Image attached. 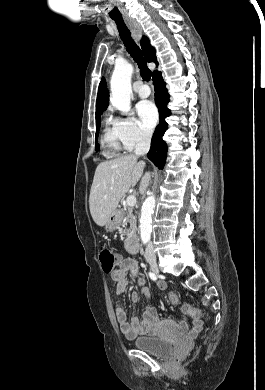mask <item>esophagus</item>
I'll list each match as a JSON object with an SVG mask.
<instances>
[{
    "label": "esophagus",
    "instance_id": "esophagus-1",
    "mask_svg": "<svg viewBox=\"0 0 265 390\" xmlns=\"http://www.w3.org/2000/svg\"><path fill=\"white\" fill-rule=\"evenodd\" d=\"M125 21L128 23L130 27L134 40L136 42H139L142 37V28L140 24L136 20L129 17H125Z\"/></svg>",
    "mask_w": 265,
    "mask_h": 390
}]
</instances>
